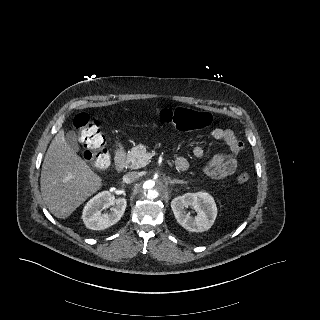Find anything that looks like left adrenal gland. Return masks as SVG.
I'll return each mask as SVG.
<instances>
[{"mask_svg": "<svg viewBox=\"0 0 320 320\" xmlns=\"http://www.w3.org/2000/svg\"><path fill=\"white\" fill-rule=\"evenodd\" d=\"M169 183L170 184H175V183H180V184H183V183H187L186 181H183V180H177V179H173V180H169Z\"/></svg>", "mask_w": 320, "mask_h": 320, "instance_id": "obj_1", "label": "left adrenal gland"}]
</instances>
